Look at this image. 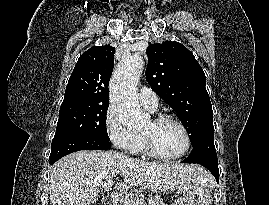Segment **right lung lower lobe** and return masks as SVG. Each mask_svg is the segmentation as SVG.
<instances>
[{"label":"right lung lower lobe","instance_id":"obj_1","mask_svg":"<svg viewBox=\"0 0 269 205\" xmlns=\"http://www.w3.org/2000/svg\"><path fill=\"white\" fill-rule=\"evenodd\" d=\"M109 142L96 138L69 135L54 138L51 144L50 163L53 164L63 156L79 150H108Z\"/></svg>","mask_w":269,"mask_h":205}]
</instances>
